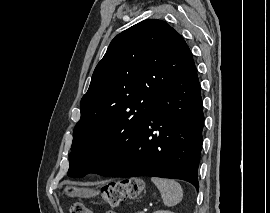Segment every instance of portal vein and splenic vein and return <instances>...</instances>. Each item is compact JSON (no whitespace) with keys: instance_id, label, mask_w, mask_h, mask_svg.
<instances>
[{"instance_id":"obj_1","label":"portal vein and splenic vein","mask_w":270,"mask_h":213,"mask_svg":"<svg viewBox=\"0 0 270 213\" xmlns=\"http://www.w3.org/2000/svg\"><path fill=\"white\" fill-rule=\"evenodd\" d=\"M146 210H147V209H145V210H143V211H141V212H139V213H145Z\"/></svg>"}]
</instances>
